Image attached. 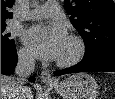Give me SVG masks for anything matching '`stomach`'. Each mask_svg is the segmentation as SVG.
Here are the masks:
<instances>
[{"mask_svg": "<svg viewBox=\"0 0 115 99\" xmlns=\"http://www.w3.org/2000/svg\"><path fill=\"white\" fill-rule=\"evenodd\" d=\"M52 87L63 99H96L99 90L95 79L86 73L74 74Z\"/></svg>", "mask_w": 115, "mask_h": 99, "instance_id": "1", "label": "stomach"}]
</instances>
